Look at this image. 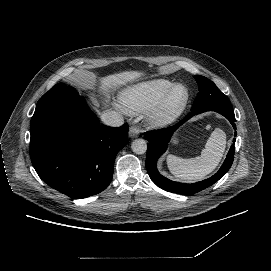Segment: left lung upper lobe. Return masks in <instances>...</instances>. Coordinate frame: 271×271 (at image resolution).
Masks as SVG:
<instances>
[{
  "label": "left lung upper lobe",
  "instance_id": "obj_1",
  "mask_svg": "<svg viewBox=\"0 0 271 271\" xmlns=\"http://www.w3.org/2000/svg\"><path fill=\"white\" fill-rule=\"evenodd\" d=\"M198 83L199 93L193 103L191 110L210 109L233 111L228 98L208 78L195 75Z\"/></svg>",
  "mask_w": 271,
  "mask_h": 271
}]
</instances>
